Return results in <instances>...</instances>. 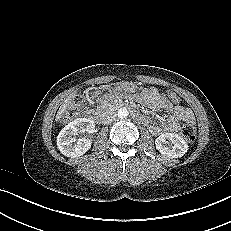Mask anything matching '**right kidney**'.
I'll return each instance as SVG.
<instances>
[{"instance_id": "right-kidney-1", "label": "right kidney", "mask_w": 231, "mask_h": 231, "mask_svg": "<svg viewBox=\"0 0 231 231\" xmlns=\"http://www.w3.org/2000/svg\"><path fill=\"white\" fill-rule=\"evenodd\" d=\"M95 123L91 119L77 118L66 125L57 136V147L67 157H79L91 148V140L88 138L77 139L79 133H92Z\"/></svg>"}]
</instances>
